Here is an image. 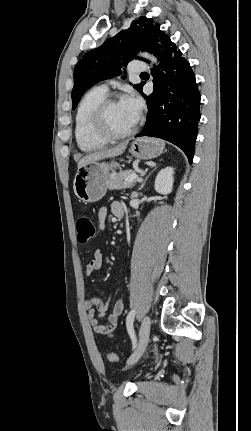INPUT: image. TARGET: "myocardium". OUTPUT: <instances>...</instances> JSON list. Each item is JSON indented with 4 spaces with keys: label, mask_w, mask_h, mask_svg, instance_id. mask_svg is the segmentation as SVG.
Here are the masks:
<instances>
[{
    "label": "myocardium",
    "mask_w": 251,
    "mask_h": 431,
    "mask_svg": "<svg viewBox=\"0 0 251 431\" xmlns=\"http://www.w3.org/2000/svg\"><path fill=\"white\" fill-rule=\"evenodd\" d=\"M118 101L116 96L110 95L105 96L99 104L96 106L91 120V128L93 133L107 141L120 140L127 138L133 135L139 124L140 118L138 117L134 123V125L127 131L124 132H114L112 131L107 124V110L109 106Z\"/></svg>",
    "instance_id": "myocardium-1"
}]
</instances>
